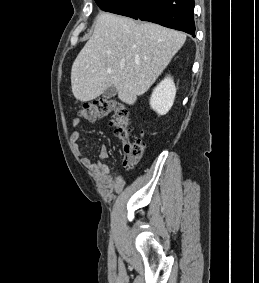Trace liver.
Listing matches in <instances>:
<instances>
[{
	"label": "liver",
	"mask_w": 259,
	"mask_h": 283,
	"mask_svg": "<svg viewBox=\"0 0 259 283\" xmlns=\"http://www.w3.org/2000/svg\"><path fill=\"white\" fill-rule=\"evenodd\" d=\"M185 40L186 34L161 25L101 12L92 37L72 65L74 97L81 102L91 101L115 86L118 98L133 105Z\"/></svg>",
	"instance_id": "1"
}]
</instances>
